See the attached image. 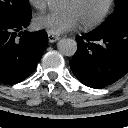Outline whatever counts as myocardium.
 I'll return each instance as SVG.
<instances>
[{
  "instance_id": "myocardium-1",
  "label": "myocardium",
  "mask_w": 128,
  "mask_h": 128,
  "mask_svg": "<svg viewBox=\"0 0 128 128\" xmlns=\"http://www.w3.org/2000/svg\"><path fill=\"white\" fill-rule=\"evenodd\" d=\"M115 0H107L105 7L100 14L91 21L81 23L83 29H92L99 26L108 16L112 7L114 6Z\"/></svg>"
}]
</instances>
